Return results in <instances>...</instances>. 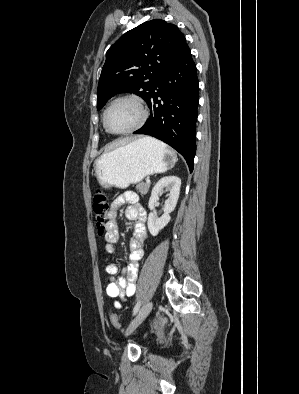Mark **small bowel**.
Returning <instances> with one entry per match:
<instances>
[{"mask_svg":"<svg viewBox=\"0 0 299 394\" xmlns=\"http://www.w3.org/2000/svg\"><path fill=\"white\" fill-rule=\"evenodd\" d=\"M128 204L125 209L127 219L134 222L133 236L129 242V262L122 270V275L116 277L119 268L115 263L106 265V272L109 276L107 295L113 298L125 299L132 296L136 290V280L138 274V264L144 255V244L147 239L146 231V211L138 202V195L133 191H125L115 198L110 206L108 221L105 225V251L108 254L115 252V243L119 240V228L117 216L120 208ZM118 307L119 305L116 304Z\"/></svg>","mask_w":299,"mask_h":394,"instance_id":"small-bowel-1","label":"small bowel"}]
</instances>
